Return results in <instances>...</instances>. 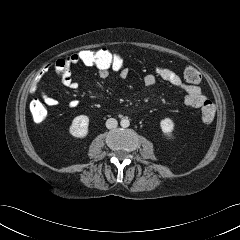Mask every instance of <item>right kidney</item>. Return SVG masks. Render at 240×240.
I'll return each instance as SVG.
<instances>
[{"label": "right kidney", "instance_id": "ca27d5eb", "mask_svg": "<svg viewBox=\"0 0 240 240\" xmlns=\"http://www.w3.org/2000/svg\"><path fill=\"white\" fill-rule=\"evenodd\" d=\"M89 117L79 115L75 117L69 128V133L75 138H84L88 135Z\"/></svg>", "mask_w": 240, "mask_h": 240}]
</instances>
